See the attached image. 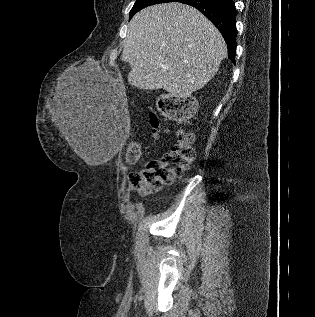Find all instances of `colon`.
<instances>
[{
	"instance_id": "5ec220e1",
	"label": "colon",
	"mask_w": 315,
	"mask_h": 317,
	"mask_svg": "<svg viewBox=\"0 0 315 317\" xmlns=\"http://www.w3.org/2000/svg\"><path fill=\"white\" fill-rule=\"evenodd\" d=\"M160 111L167 117L175 120L190 118L195 109L191 98H178L165 96L159 101ZM152 132L158 139L163 131V126L154 113L150 115ZM192 133L180 130L178 140L170 151L159 159L151 160L143 168L130 175V186L139 193H150L160 190L164 185L171 183L175 178L182 176L190 166L195 156ZM141 151L137 143H132L126 151V158L131 163L140 160Z\"/></svg>"
}]
</instances>
